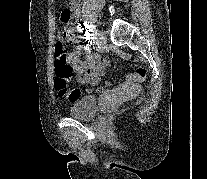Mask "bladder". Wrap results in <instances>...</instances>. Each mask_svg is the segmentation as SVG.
<instances>
[{
  "instance_id": "31cf9c89",
  "label": "bladder",
  "mask_w": 207,
  "mask_h": 179,
  "mask_svg": "<svg viewBox=\"0 0 207 179\" xmlns=\"http://www.w3.org/2000/svg\"><path fill=\"white\" fill-rule=\"evenodd\" d=\"M99 100L92 96H82L72 101L69 107L71 117L79 120H91L97 113Z\"/></svg>"
}]
</instances>
